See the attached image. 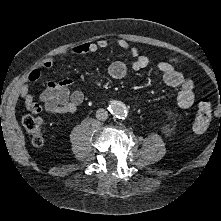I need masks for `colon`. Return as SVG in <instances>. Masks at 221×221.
<instances>
[{
	"mask_svg": "<svg viewBox=\"0 0 221 221\" xmlns=\"http://www.w3.org/2000/svg\"><path fill=\"white\" fill-rule=\"evenodd\" d=\"M212 117L211 100L203 96L200 98L197 113L193 122V131L199 136L207 131ZM23 126L32 140L35 147H42L46 142V125L42 118L33 114H28L23 118Z\"/></svg>",
	"mask_w": 221,
	"mask_h": 221,
	"instance_id": "5ec220e1",
	"label": "colon"
}]
</instances>
